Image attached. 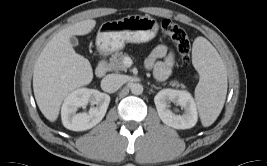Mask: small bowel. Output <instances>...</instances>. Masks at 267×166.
I'll use <instances>...</instances> for the list:
<instances>
[{
  "instance_id": "c3829d8e",
  "label": "small bowel",
  "mask_w": 267,
  "mask_h": 166,
  "mask_svg": "<svg viewBox=\"0 0 267 166\" xmlns=\"http://www.w3.org/2000/svg\"><path fill=\"white\" fill-rule=\"evenodd\" d=\"M173 63L174 54L165 45H158L146 59L145 67L162 81L169 76Z\"/></svg>"
}]
</instances>
